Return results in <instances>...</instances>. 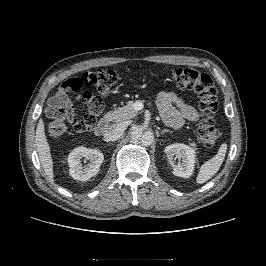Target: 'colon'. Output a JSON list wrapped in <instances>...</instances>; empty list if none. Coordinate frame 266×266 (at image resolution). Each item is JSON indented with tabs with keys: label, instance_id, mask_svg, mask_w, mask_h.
<instances>
[{
	"label": "colon",
	"instance_id": "obj_1",
	"mask_svg": "<svg viewBox=\"0 0 266 266\" xmlns=\"http://www.w3.org/2000/svg\"><path fill=\"white\" fill-rule=\"evenodd\" d=\"M172 77L178 88L193 90L199 94L202 120L197 128V136L204 146L208 148L215 146L219 139V131L214 125L218 101L212 78L191 67L175 68ZM118 81L117 73L109 69L84 72L67 80L48 104L47 113L52 118L48 125L49 134L58 137L66 131L67 125L77 131L91 129L103 108V98L111 94ZM85 85L96 86L100 95H94L89 91L81 92L78 99L84 106L83 111H74L67 118L59 116L58 110L65 96L70 92L81 90Z\"/></svg>",
	"mask_w": 266,
	"mask_h": 266
}]
</instances>
